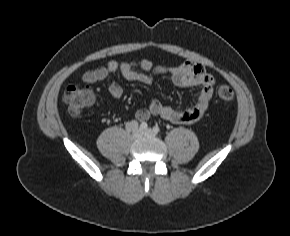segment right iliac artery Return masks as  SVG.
I'll return each instance as SVG.
<instances>
[{
	"instance_id": "right-iliac-artery-1",
	"label": "right iliac artery",
	"mask_w": 290,
	"mask_h": 236,
	"mask_svg": "<svg viewBox=\"0 0 290 236\" xmlns=\"http://www.w3.org/2000/svg\"><path fill=\"white\" fill-rule=\"evenodd\" d=\"M147 128H148V124H147L146 122H142V123L140 124V129L145 130V129H147Z\"/></svg>"
}]
</instances>
